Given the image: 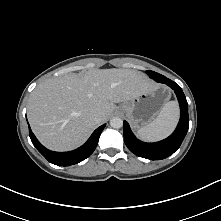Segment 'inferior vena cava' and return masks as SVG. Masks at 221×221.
Here are the masks:
<instances>
[{
	"mask_svg": "<svg viewBox=\"0 0 221 221\" xmlns=\"http://www.w3.org/2000/svg\"><path fill=\"white\" fill-rule=\"evenodd\" d=\"M94 120L96 122H100L101 121V115L99 113H97L95 116H94Z\"/></svg>",
	"mask_w": 221,
	"mask_h": 221,
	"instance_id": "obj_1",
	"label": "inferior vena cava"
}]
</instances>
